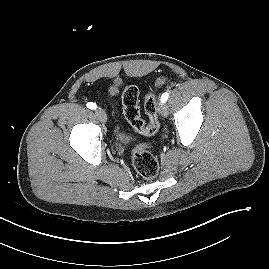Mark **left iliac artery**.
I'll return each mask as SVG.
<instances>
[{
  "mask_svg": "<svg viewBox=\"0 0 269 269\" xmlns=\"http://www.w3.org/2000/svg\"><path fill=\"white\" fill-rule=\"evenodd\" d=\"M169 94L167 92L163 93L161 96V102H166L168 100Z\"/></svg>",
  "mask_w": 269,
  "mask_h": 269,
  "instance_id": "obj_1",
  "label": "left iliac artery"
}]
</instances>
